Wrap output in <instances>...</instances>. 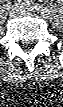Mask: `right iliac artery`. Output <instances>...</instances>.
Listing matches in <instances>:
<instances>
[{
  "mask_svg": "<svg viewBox=\"0 0 63 107\" xmlns=\"http://www.w3.org/2000/svg\"><path fill=\"white\" fill-rule=\"evenodd\" d=\"M12 5H11V3H7V5H6V7H7V10L11 7Z\"/></svg>",
  "mask_w": 63,
  "mask_h": 107,
  "instance_id": "obj_1",
  "label": "right iliac artery"
}]
</instances>
